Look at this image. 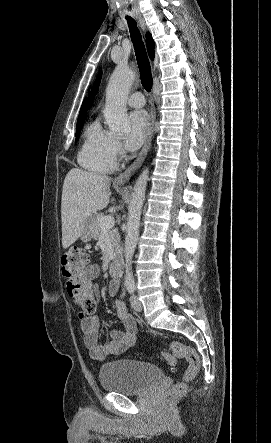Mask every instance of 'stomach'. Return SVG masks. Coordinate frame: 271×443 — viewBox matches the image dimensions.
Instances as JSON below:
<instances>
[{
  "label": "stomach",
  "mask_w": 271,
  "mask_h": 443,
  "mask_svg": "<svg viewBox=\"0 0 271 443\" xmlns=\"http://www.w3.org/2000/svg\"><path fill=\"white\" fill-rule=\"evenodd\" d=\"M93 223H94L93 216L87 218L86 222L83 223L82 235H80L82 241H90V239H92L94 233Z\"/></svg>",
  "instance_id": "1"
}]
</instances>
